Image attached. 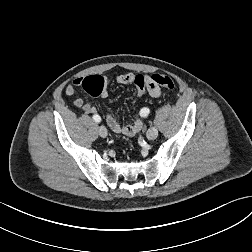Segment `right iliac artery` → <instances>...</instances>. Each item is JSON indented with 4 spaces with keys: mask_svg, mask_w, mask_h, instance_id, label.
<instances>
[{
    "mask_svg": "<svg viewBox=\"0 0 252 252\" xmlns=\"http://www.w3.org/2000/svg\"><path fill=\"white\" fill-rule=\"evenodd\" d=\"M93 119H94V121H96V122H100V121H101V117H100L99 115H94V116H93Z\"/></svg>",
    "mask_w": 252,
    "mask_h": 252,
    "instance_id": "1",
    "label": "right iliac artery"
}]
</instances>
